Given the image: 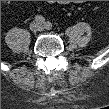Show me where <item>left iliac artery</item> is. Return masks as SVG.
<instances>
[{
    "instance_id": "1",
    "label": "left iliac artery",
    "mask_w": 109,
    "mask_h": 109,
    "mask_svg": "<svg viewBox=\"0 0 109 109\" xmlns=\"http://www.w3.org/2000/svg\"><path fill=\"white\" fill-rule=\"evenodd\" d=\"M44 26L46 29H50L52 27V24L50 22H45Z\"/></svg>"
}]
</instances>
